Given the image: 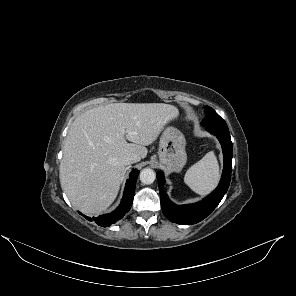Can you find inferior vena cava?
Here are the masks:
<instances>
[{
    "label": "inferior vena cava",
    "mask_w": 296,
    "mask_h": 296,
    "mask_svg": "<svg viewBox=\"0 0 296 296\" xmlns=\"http://www.w3.org/2000/svg\"><path fill=\"white\" fill-rule=\"evenodd\" d=\"M140 161V156L137 155V154H127L126 156H124L123 158V162L125 165H130V164H133V163H136Z\"/></svg>",
    "instance_id": "602c4592"
}]
</instances>
